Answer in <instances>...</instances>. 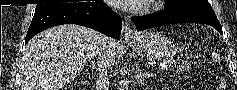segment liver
I'll list each match as a JSON object with an SVG mask.
<instances>
[{"label": "liver", "instance_id": "liver-1", "mask_svg": "<svg viewBox=\"0 0 237 90\" xmlns=\"http://www.w3.org/2000/svg\"><path fill=\"white\" fill-rule=\"evenodd\" d=\"M102 44V34L75 24L37 34L22 56V90H62L74 82Z\"/></svg>", "mask_w": 237, "mask_h": 90}]
</instances>
